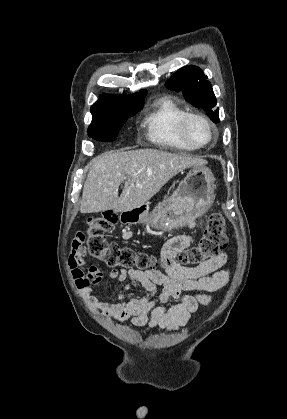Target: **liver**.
<instances>
[{
	"instance_id": "6515ba94",
	"label": "liver",
	"mask_w": 287,
	"mask_h": 419,
	"mask_svg": "<svg viewBox=\"0 0 287 419\" xmlns=\"http://www.w3.org/2000/svg\"><path fill=\"white\" fill-rule=\"evenodd\" d=\"M206 162L200 157L152 148L105 152L89 164L80 212H122L141 207L179 172Z\"/></svg>"
}]
</instances>
